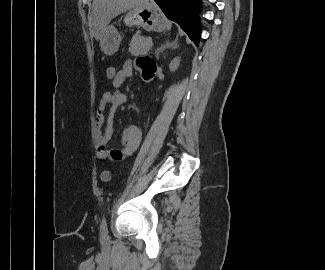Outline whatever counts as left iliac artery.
<instances>
[{"label":"left iliac artery","mask_w":325,"mask_h":270,"mask_svg":"<svg viewBox=\"0 0 325 270\" xmlns=\"http://www.w3.org/2000/svg\"><path fill=\"white\" fill-rule=\"evenodd\" d=\"M100 232L103 238L108 237V229H107V223L105 217L102 218L101 224H100Z\"/></svg>","instance_id":"left-iliac-artery-1"}]
</instances>
